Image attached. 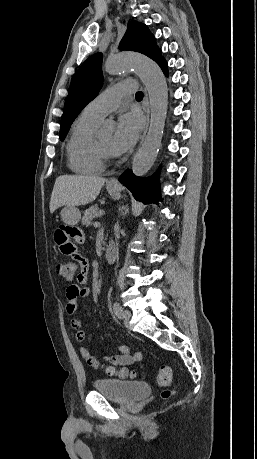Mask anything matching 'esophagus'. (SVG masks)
<instances>
[{
	"instance_id": "obj_1",
	"label": "esophagus",
	"mask_w": 257,
	"mask_h": 459,
	"mask_svg": "<svg viewBox=\"0 0 257 459\" xmlns=\"http://www.w3.org/2000/svg\"><path fill=\"white\" fill-rule=\"evenodd\" d=\"M143 109H144L145 114H146V123H145V127H144V130H143L142 136H141L140 145L142 144V142H143V140H144V138L146 136V133H147V130H148V126H149V119H150V107H149L148 95H147L146 90L144 91ZM108 184L113 185V186H119V181H118V179L116 177H114V178L109 180Z\"/></svg>"
}]
</instances>
